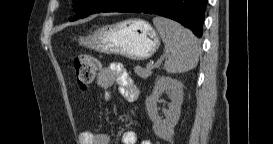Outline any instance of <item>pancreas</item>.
Listing matches in <instances>:
<instances>
[{
    "mask_svg": "<svg viewBox=\"0 0 273 144\" xmlns=\"http://www.w3.org/2000/svg\"><path fill=\"white\" fill-rule=\"evenodd\" d=\"M134 71H135V73L139 76V77H141V78H143V79H146V78H148L149 76H151L152 75V71H151V69H143L142 67H139V66H136L135 68H134Z\"/></svg>",
    "mask_w": 273,
    "mask_h": 144,
    "instance_id": "obj_1",
    "label": "pancreas"
}]
</instances>
